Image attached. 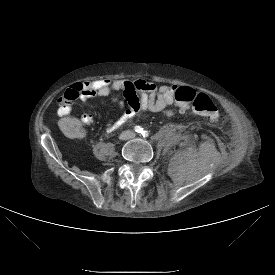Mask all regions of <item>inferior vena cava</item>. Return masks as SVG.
I'll list each match as a JSON object with an SVG mask.
<instances>
[{
  "instance_id": "1",
  "label": "inferior vena cava",
  "mask_w": 275,
  "mask_h": 275,
  "mask_svg": "<svg viewBox=\"0 0 275 275\" xmlns=\"http://www.w3.org/2000/svg\"><path fill=\"white\" fill-rule=\"evenodd\" d=\"M122 135L124 136V139H130L135 136V134L132 131H125Z\"/></svg>"
}]
</instances>
